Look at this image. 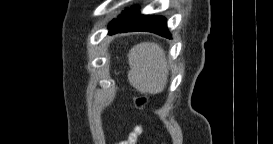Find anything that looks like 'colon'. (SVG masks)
I'll return each instance as SVG.
<instances>
[{
	"label": "colon",
	"instance_id": "5ec220e1",
	"mask_svg": "<svg viewBox=\"0 0 273 144\" xmlns=\"http://www.w3.org/2000/svg\"><path fill=\"white\" fill-rule=\"evenodd\" d=\"M147 103H148V101H147V99H145V98H138V99L136 100V105H137V107H139V108H142V107L146 106Z\"/></svg>",
	"mask_w": 273,
	"mask_h": 144
}]
</instances>
